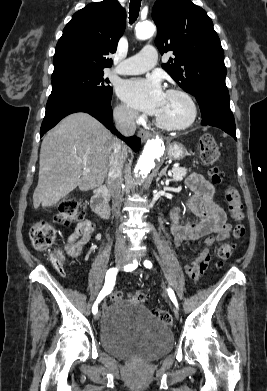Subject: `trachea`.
Here are the masks:
<instances>
[{
  "label": "trachea",
  "instance_id": "trachea-1",
  "mask_svg": "<svg viewBox=\"0 0 267 391\" xmlns=\"http://www.w3.org/2000/svg\"><path fill=\"white\" fill-rule=\"evenodd\" d=\"M140 6H141V0H130V5H129V23L133 24L140 11Z\"/></svg>",
  "mask_w": 267,
  "mask_h": 391
}]
</instances>
